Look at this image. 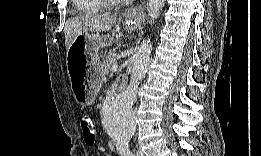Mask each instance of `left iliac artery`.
<instances>
[{"label":"left iliac artery","instance_id":"1","mask_svg":"<svg viewBox=\"0 0 261 156\" xmlns=\"http://www.w3.org/2000/svg\"><path fill=\"white\" fill-rule=\"evenodd\" d=\"M129 140L130 138H124V139H118L116 141L117 150L123 156H135V154L132 153L129 148Z\"/></svg>","mask_w":261,"mask_h":156}]
</instances>
